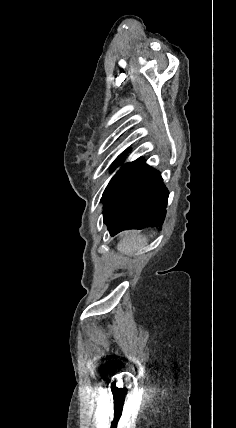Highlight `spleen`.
I'll return each mask as SVG.
<instances>
[{
	"mask_svg": "<svg viewBox=\"0 0 236 428\" xmlns=\"http://www.w3.org/2000/svg\"><path fill=\"white\" fill-rule=\"evenodd\" d=\"M146 244L147 240L142 234H138V232H127L125 238L118 244L117 250L123 252V254H130V252L141 250Z\"/></svg>",
	"mask_w": 236,
	"mask_h": 428,
	"instance_id": "1",
	"label": "spleen"
}]
</instances>
